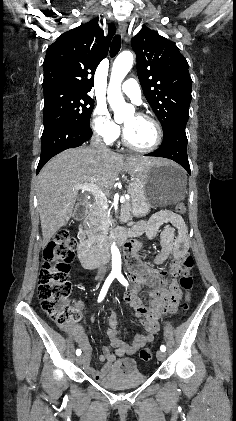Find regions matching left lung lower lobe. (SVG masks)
Returning a JSON list of instances; mask_svg holds the SVG:
<instances>
[{
    "instance_id": "left-lung-lower-lobe-1",
    "label": "left lung lower lobe",
    "mask_w": 236,
    "mask_h": 421,
    "mask_svg": "<svg viewBox=\"0 0 236 421\" xmlns=\"http://www.w3.org/2000/svg\"><path fill=\"white\" fill-rule=\"evenodd\" d=\"M186 123L178 122L164 133V140L160 147L146 156L164 157L182 165L190 174V165L187 156Z\"/></svg>"
}]
</instances>
